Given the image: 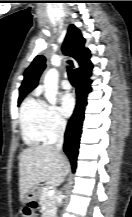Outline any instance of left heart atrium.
Masks as SVG:
<instances>
[{"instance_id":"obj_1","label":"left heart atrium","mask_w":132,"mask_h":217,"mask_svg":"<svg viewBox=\"0 0 132 217\" xmlns=\"http://www.w3.org/2000/svg\"><path fill=\"white\" fill-rule=\"evenodd\" d=\"M75 108V99L72 94L65 93L60 98V111L65 117L71 116Z\"/></svg>"}]
</instances>
